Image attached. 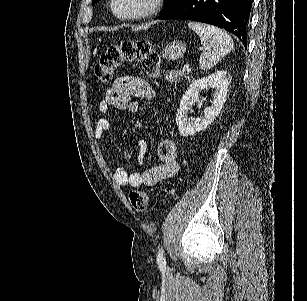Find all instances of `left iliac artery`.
<instances>
[{
  "label": "left iliac artery",
  "instance_id": "1",
  "mask_svg": "<svg viewBox=\"0 0 307 301\" xmlns=\"http://www.w3.org/2000/svg\"><path fill=\"white\" fill-rule=\"evenodd\" d=\"M157 264L161 270H165L167 268L166 260L164 257V250L162 248H160L157 253Z\"/></svg>",
  "mask_w": 307,
  "mask_h": 301
}]
</instances>
